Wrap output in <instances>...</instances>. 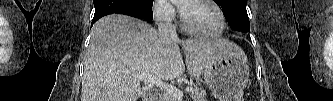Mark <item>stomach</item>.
Instances as JSON below:
<instances>
[{
	"label": "stomach",
	"mask_w": 333,
	"mask_h": 101,
	"mask_svg": "<svg viewBox=\"0 0 333 101\" xmlns=\"http://www.w3.org/2000/svg\"><path fill=\"white\" fill-rule=\"evenodd\" d=\"M226 42L223 39L214 41L217 45ZM230 45V49L222 51L219 57L213 59L204 71V79L219 101H243V91L249 77L247 57L240 47L233 43Z\"/></svg>",
	"instance_id": "obj_1"
}]
</instances>
